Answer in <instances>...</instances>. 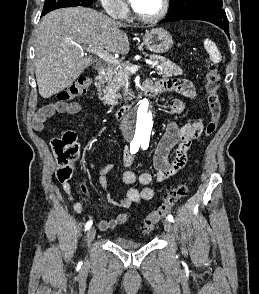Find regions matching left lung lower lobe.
I'll return each mask as SVG.
<instances>
[{
    "instance_id": "left-lung-lower-lobe-1",
    "label": "left lung lower lobe",
    "mask_w": 259,
    "mask_h": 294,
    "mask_svg": "<svg viewBox=\"0 0 259 294\" xmlns=\"http://www.w3.org/2000/svg\"><path fill=\"white\" fill-rule=\"evenodd\" d=\"M179 20H203L211 22L225 31L229 37V24L225 11L223 8L218 7H201L189 12L168 16L166 19L162 20L160 23L179 21Z\"/></svg>"
}]
</instances>
